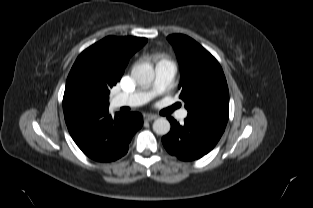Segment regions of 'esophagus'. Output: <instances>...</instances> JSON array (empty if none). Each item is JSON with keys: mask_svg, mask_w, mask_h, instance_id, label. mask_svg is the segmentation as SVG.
Instances as JSON below:
<instances>
[{"mask_svg": "<svg viewBox=\"0 0 313 208\" xmlns=\"http://www.w3.org/2000/svg\"><path fill=\"white\" fill-rule=\"evenodd\" d=\"M155 119H157L156 115H152V114H145L144 115V120L145 121H152V120H155Z\"/></svg>", "mask_w": 313, "mask_h": 208, "instance_id": "1", "label": "esophagus"}]
</instances>
